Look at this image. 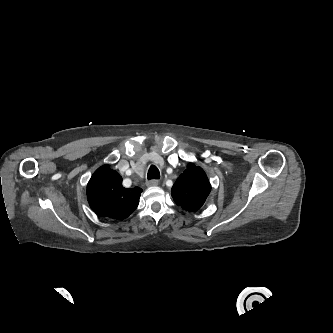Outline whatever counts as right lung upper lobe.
<instances>
[{"instance_id": "right-lung-upper-lobe-1", "label": "right lung upper lobe", "mask_w": 333, "mask_h": 333, "mask_svg": "<svg viewBox=\"0 0 333 333\" xmlns=\"http://www.w3.org/2000/svg\"><path fill=\"white\" fill-rule=\"evenodd\" d=\"M142 189L124 188L122 177L109 165L97 169L87 185V198L92 210L103 217L127 218L138 206Z\"/></svg>"}]
</instances>
